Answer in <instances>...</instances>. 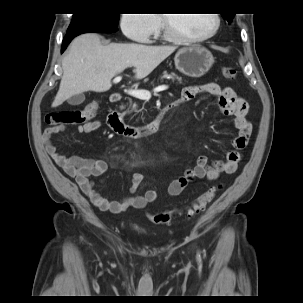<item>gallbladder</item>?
<instances>
[{
	"label": "gallbladder",
	"instance_id": "obj_1",
	"mask_svg": "<svg viewBox=\"0 0 303 303\" xmlns=\"http://www.w3.org/2000/svg\"><path fill=\"white\" fill-rule=\"evenodd\" d=\"M67 101L70 105H80L85 101V95L83 93L77 94L70 97Z\"/></svg>",
	"mask_w": 303,
	"mask_h": 303
}]
</instances>
